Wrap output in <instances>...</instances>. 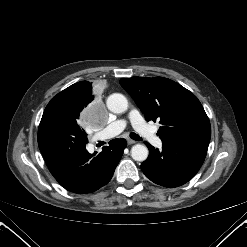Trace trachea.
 <instances>
[{"label":"trachea","instance_id":"3493384b","mask_svg":"<svg viewBox=\"0 0 247 247\" xmlns=\"http://www.w3.org/2000/svg\"><path fill=\"white\" fill-rule=\"evenodd\" d=\"M130 137L133 139V140H136V141H141L142 138L136 134V133H130Z\"/></svg>","mask_w":247,"mask_h":247}]
</instances>
